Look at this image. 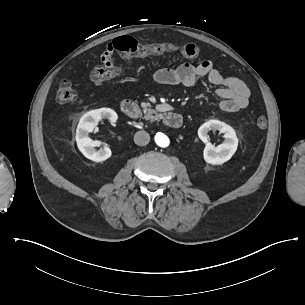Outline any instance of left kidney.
<instances>
[{
	"label": "left kidney",
	"instance_id": "obj_1",
	"mask_svg": "<svg viewBox=\"0 0 305 305\" xmlns=\"http://www.w3.org/2000/svg\"><path fill=\"white\" fill-rule=\"evenodd\" d=\"M218 130L224 134L225 141L214 147L207 144L203 151V158L207 164L216 166L223 165L231 159L238 147V138L234 129L220 120H209L198 129V136L203 142H207L208 132Z\"/></svg>",
	"mask_w": 305,
	"mask_h": 305
}]
</instances>
